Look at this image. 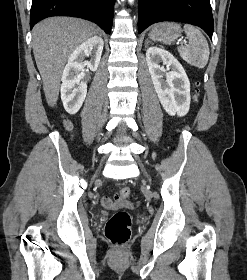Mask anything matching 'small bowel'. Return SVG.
<instances>
[{"label":"small bowel","instance_id":"c3829d8e","mask_svg":"<svg viewBox=\"0 0 247 280\" xmlns=\"http://www.w3.org/2000/svg\"><path fill=\"white\" fill-rule=\"evenodd\" d=\"M101 203L104 207L109 208V209H114V208L120 207V206H125V207L131 206L130 203L119 201V200H117L116 197L114 199H112L110 197H103L101 200Z\"/></svg>","mask_w":247,"mask_h":280}]
</instances>
